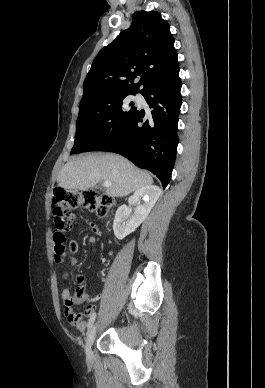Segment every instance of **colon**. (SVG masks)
I'll use <instances>...</instances> for the list:
<instances>
[{"label":"colon","mask_w":265,"mask_h":388,"mask_svg":"<svg viewBox=\"0 0 265 388\" xmlns=\"http://www.w3.org/2000/svg\"><path fill=\"white\" fill-rule=\"evenodd\" d=\"M84 207L95 212L100 216H106L114 206V200L92 189L69 191L65 189H55L53 193V218L55 229L53 231L54 258L56 262H62L67 255L65 246L66 233L70 229L71 210ZM78 245L71 242L68 250L76 252ZM84 291L78 288L76 293L71 296L68 306L65 309L67 320L76 325L81 319V315L71 309L73 304L79 303L83 297Z\"/></svg>","instance_id":"1"}]
</instances>
